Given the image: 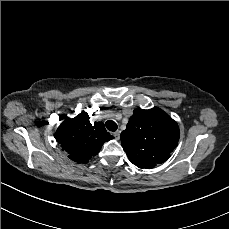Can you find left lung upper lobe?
<instances>
[{
    "label": "left lung upper lobe",
    "instance_id": "obj_1",
    "mask_svg": "<svg viewBox=\"0 0 229 229\" xmlns=\"http://www.w3.org/2000/svg\"><path fill=\"white\" fill-rule=\"evenodd\" d=\"M179 136L178 124L164 111L137 108L121 133V145L133 164L151 169L170 157Z\"/></svg>",
    "mask_w": 229,
    "mask_h": 229
}]
</instances>
